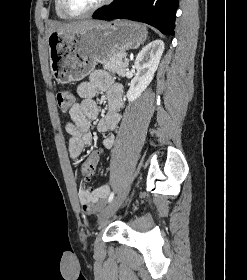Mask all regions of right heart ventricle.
<instances>
[{
    "instance_id": "right-heart-ventricle-1",
    "label": "right heart ventricle",
    "mask_w": 247,
    "mask_h": 280,
    "mask_svg": "<svg viewBox=\"0 0 247 280\" xmlns=\"http://www.w3.org/2000/svg\"><path fill=\"white\" fill-rule=\"evenodd\" d=\"M54 7H55V13L57 15L58 18L62 19V20H66L68 19L67 16L64 15V13L61 10V6H60V0H55L54 2Z\"/></svg>"
}]
</instances>
